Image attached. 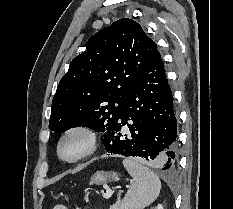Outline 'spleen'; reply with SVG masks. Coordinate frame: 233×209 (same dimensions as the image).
Returning a JSON list of instances; mask_svg holds the SVG:
<instances>
[{"label": "spleen", "mask_w": 233, "mask_h": 209, "mask_svg": "<svg viewBox=\"0 0 233 209\" xmlns=\"http://www.w3.org/2000/svg\"><path fill=\"white\" fill-rule=\"evenodd\" d=\"M123 165L133 177L134 182L129 187L123 200L111 206L110 209H144L154 202L160 193L161 182L159 177L134 159H124ZM54 209L66 208L56 206Z\"/></svg>", "instance_id": "1"}]
</instances>
